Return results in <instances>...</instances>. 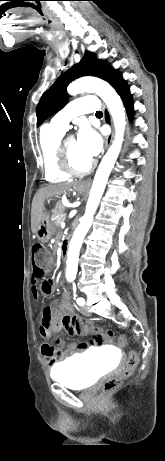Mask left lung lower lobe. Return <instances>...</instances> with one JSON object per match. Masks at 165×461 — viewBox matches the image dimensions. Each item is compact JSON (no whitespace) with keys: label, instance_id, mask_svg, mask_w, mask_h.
Instances as JSON below:
<instances>
[{"label":"left lung lower lobe","instance_id":"0a47b994","mask_svg":"<svg viewBox=\"0 0 165 461\" xmlns=\"http://www.w3.org/2000/svg\"><path fill=\"white\" fill-rule=\"evenodd\" d=\"M111 85L123 99V103L127 109V112L131 116L133 112V102L131 99L130 90L120 73L112 81Z\"/></svg>","mask_w":165,"mask_h":461}]
</instances>
